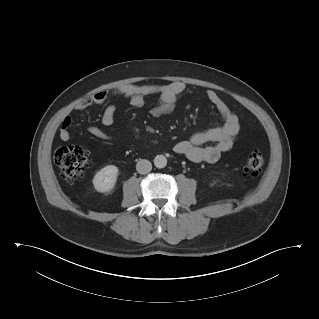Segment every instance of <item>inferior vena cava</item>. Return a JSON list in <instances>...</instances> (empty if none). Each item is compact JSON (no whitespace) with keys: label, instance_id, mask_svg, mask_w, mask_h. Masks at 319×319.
Returning <instances> with one entry per match:
<instances>
[{"label":"inferior vena cava","instance_id":"1","mask_svg":"<svg viewBox=\"0 0 319 319\" xmlns=\"http://www.w3.org/2000/svg\"><path fill=\"white\" fill-rule=\"evenodd\" d=\"M136 170L140 174H147L152 170V164L146 159H141L136 164Z\"/></svg>","mask_w":319,"mask_h":319}]
</instances>
